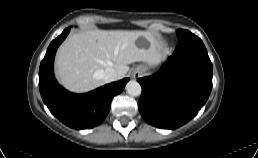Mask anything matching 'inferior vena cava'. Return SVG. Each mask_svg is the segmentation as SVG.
<instances>
[{
    "label": "inferior vena cava",
    "mask_w": 258,
    "mask_h": 158,
    "mask_svg": "<svg viewBox=\"0 0 258 158\" xmlns=\"http://www.w3.org/2000/svg\"><path fill=\"white\" fill-rule=\"evenodd\" d=\"M117 78V73L116 71L111 68V67H107L103 72H102V79L105 82H112L114 80H116Z\"/></svg>",
    "instance_id": "obj_1"
}]
</instances>
